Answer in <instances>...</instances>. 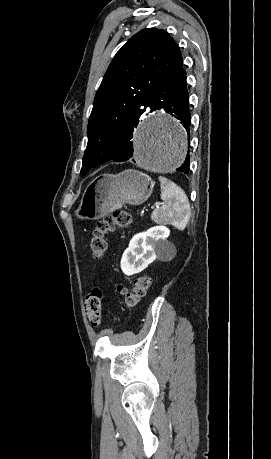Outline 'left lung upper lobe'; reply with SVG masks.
<instances>
[{
	"mask_svg": "<svg viewBox=\"0 0 271 459\" xmlns=\"http://www.w3.org/2000/svg\"><path fill=\"white\" fill-rule=\"evenodd\" d=\"M183 67L180 49L163 30L144 29L117 52L94 99L81 174L111 159L122 132L147 108V96Z\"/></svg>",
	"mask_w": 271,
	"mask_h": 459,
	"instance_id": "5c2ea615",
	"label": "left lung upper lobe"
}]
</instances>
